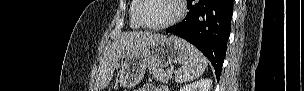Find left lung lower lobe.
<instances>
[{
    "mask_svg": "<svg viewBox=\"0 0 304 91\" xmlns=\"http://www.w3.org/2000/svg\"><path fill=\"white\" fill-rule=\"evenodd\" d=\"M185 19L166 31L195 45L220 78L230 35L233 0H187Z\"/></svg>",
    "mask_w": 304,
    "mask_h": 91,
    "instance_id": "obj_1",
    "label": "left lung lower lobe"
}]
</instances>
